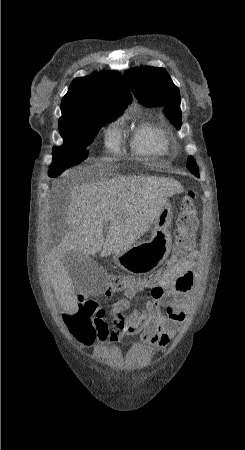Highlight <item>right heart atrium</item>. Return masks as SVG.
Masks as SVG:
<instances>
[{"label":"right heart atrium","mask_w":245,"mask_h":450,"mask_svg":"<svg viewBox=\"0 0 245 450\" xmlns=\"http://www.w3.org/2000/svg\"><path fill=\"white\" fill-rule=\"evenodd\" d=\"M106 145L107 147L114 152L119 151L120 149V137L118 134V130L115 126H112L106 133Z\"/></svg>","instance_id":"d8ad5b80"}]
</instances>
